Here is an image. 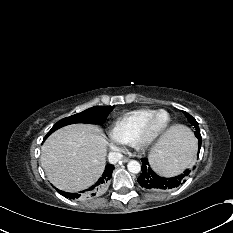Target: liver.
Masks as SVG:
<instances>
[{"label":"liver","mask_w":233,"mask_h":233,"mask_svg":"<svg viewBox=\"0 0 233 233\" xmlns=\"http://www.w3.org/2000/svg\"><path fill=\"white\" fill-rule=\"evenodd\" d=\"M181 126L170 128L150 153L152 161L172 165L176 172L182 162L173 160L179 149ZM106 137L94 125L65 126L48 137L41 150V164L49 181L60 190L78 192L90 187L102 175L106 165Z\"/></svg>","instance_id":"obj_1"}]
</instances>
